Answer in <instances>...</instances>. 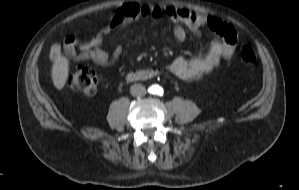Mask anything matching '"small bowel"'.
<instances>
[{
    "label": "small bowel",
    "instance_id": "small-bowel-1",
    "mask_svg": "<svg viewBox=\"0 0 299 190\" xmlns=\"http://www.w3.org/2000/svg\"><path fill=\"white\" fill-rule=\"evenodd\" d=\"M164 12L176 24L174 37L180 43L186 39L184 25L195 32H198L203 26H208L220 37L212 43L210 50L204 56L190 60L184 56L176 57L167 68L178 78L187 81L197 80L212 72L222 59H228L233 55L237 43V33L232 26L220 19L196 15L187 8L168 6L163 9L160 6L125 2L112 13L109 25L93 36L90 41L79 42L74 36H68L63 45L53 44L51 46L50 57L58 59L65 53L75 60H90L103 66L110 65L117 61L122 54L120 45L115 46L111 55L102 47L106 36L113 29L130 24L141 17L158 18Z\"/></svg>",
    "mask_w": 299,
    "mask_h": 190
}]
</instances>
